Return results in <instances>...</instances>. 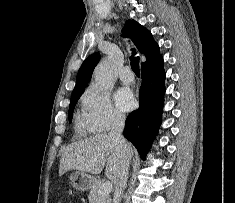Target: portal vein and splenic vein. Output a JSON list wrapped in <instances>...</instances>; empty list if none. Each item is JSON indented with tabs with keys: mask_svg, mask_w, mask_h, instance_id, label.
Masks as SVG:
<instances>
[{
	"mask_svg": "<svg viewBox=\"0 0 235 203\" xmlns=\"http://www.w3.org/2000/svg\"><path fill=\"white\" fill-rule=\"evenodd\" d=\"M113 184L110 181H106L103 183L101 190L99 191L100 195L109 194L112 191Z\"/></svg>",
	"mask_w": 235,
	"mask_h": 203,
	"instance_id": "1",
	"label": "portal vein and splenic vein"
}]
</instances>
